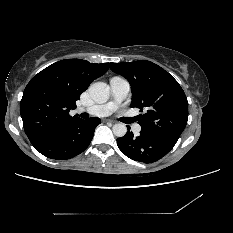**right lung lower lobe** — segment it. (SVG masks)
<instances>
[{
    "label": "right lung lower lobe",
    "instance_id": "obj_1",
    "mask_svg": "<svg viewBox=\"0 0 233 233\" xmlns=\"http://www.w3.org/2000/svg\"><path fill=\"white\" fill-rule=\"evenodd\" d=\"M100 122L99 118L87 120L77 118L33 146L48 158L70 159L82 153L89 146L94 130Z\"/></svg>",
    "mask_w": 233,
    "mask_h": 233
}]
</instances>
